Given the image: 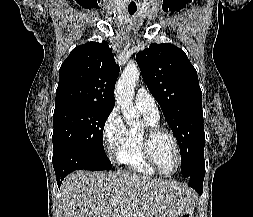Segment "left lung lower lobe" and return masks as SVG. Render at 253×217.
Returning a JSON list of instances; mask_svg holds the SVG:
<instances>
[{
	"label": "left lung lower lobe",
	"instance_id": "obj_1",
	"mask_svg": "<svg viewBox=\"0 0 253 217\" xmlns=\"http://www.w3.org/2000/svg\"><path fill=\"white\" fill-rule=\"evenodd\" d=\"M204 175H205V167L199 173L192 174V175L186 177L188 184L192 188H194L200 195L203 192Z\"/></svg>",
	"mask_w": 253,
	"mask_h": 217
}]
</instances>
